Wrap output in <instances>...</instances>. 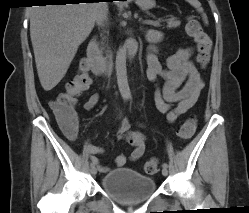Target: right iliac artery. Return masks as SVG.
Listing matches in <instances>:
<instances>
[{
    "mask_svg": "<svg viewBox=\"0 0 249 213\" xmlns=\"http://www.w3.org/2000/svg\"><path fill=\"white\" fill-rule=\"evenodd\" d=\"M96 163H97L96 161H92L91 162V167L95 166Z\"/></svg>",
    "mask_w": 249,
    "mask_h": 213,
    "instance_id": "1",
    "label": "right iliac artery"
}]
</instances>
